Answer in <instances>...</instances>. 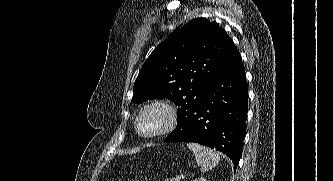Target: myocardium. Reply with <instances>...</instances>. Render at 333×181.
<instances>
[{"mask_svg":"<svg viewBox=\"0 0 333 181\" xmlns=\"http://www.w3.org/2000/svg\"><path fill=\"white\" fill-rule=\"evenodd\" d=\"M150 111H158L163 117L161 126L151 132L144 133L139 129L140 119ZM178 123V110L176 106L165 99H155L143 105L135 116L134 130L143 138H154L165 135L172 131Z\"/></svg>","mask_w":333,"mask_h":181,"instance_id":"obj_1","label":"myocardium"}]
</instances>
